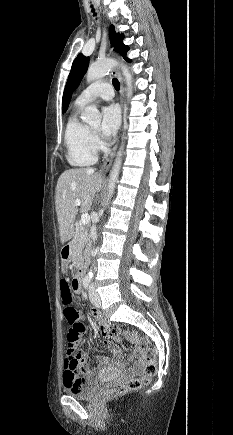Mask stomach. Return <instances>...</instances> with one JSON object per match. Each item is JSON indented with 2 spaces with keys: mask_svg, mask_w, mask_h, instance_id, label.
<instances>
[{
  "mask_svg": "<svg viewBox=\"0 0 233 435\" xmlns=\"http://www.w3.org/2000/svg\"><path fill=\"white\" fill-rule=\"evenodd\" d=\"M67 268H68L67 263H66V262H63V263H62V272H63V273H66V272H67Z\"/></svg>",
  "mask_w": 233,
  "mask_h": 435,
  "instance_id": "1",
  "label": "stomach"
}]
</instances>
